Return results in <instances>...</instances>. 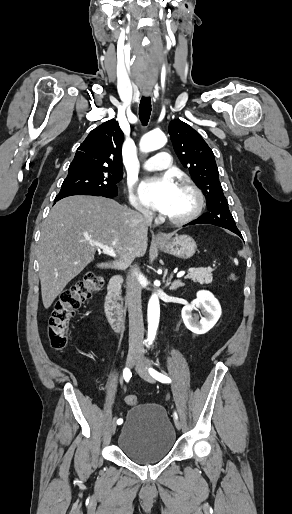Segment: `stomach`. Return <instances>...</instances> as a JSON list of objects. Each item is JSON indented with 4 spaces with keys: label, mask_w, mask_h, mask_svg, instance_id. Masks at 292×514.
Listing matches in <instances>:
<instances>
[{
    "label": "stomach",
    "mask_w": 292,
    "mask_h": 514,
    "mask_svg": "<svg viewBox=\"0 0 292 514\" xmlns=\"http://www.w3.org/2000/svg\"><path fill=\"white\" fill-rule=\"evenodd\" d=\"M161 250H164L166 254L176 256V258H182V260H188L196 252V242L190 236H176L166 242H156Z\"/></svg>",
    "instance_id": "0dacf381"
}]
</instances>
